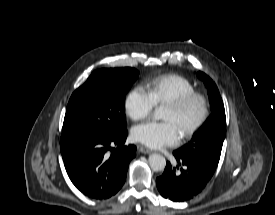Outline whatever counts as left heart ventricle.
<instances>
[{"mask_svg":"<svg viewBox=\"0 0 275 215\" xmlns=\"http://www.w3.org/2000/svg\"><path fill=\"white\" fill-rule=\"evenodd\" d=\"M201 112V102L199 100H195L181 111L165 106L162 112V119L172 121L178 128L179 133L182 134L187 128L198 120Z\"/></svg>","mask_w":275,"mask_h":215,"instance_id":"b2bd125f","label":"left heart ventricle"}]
</instances>
